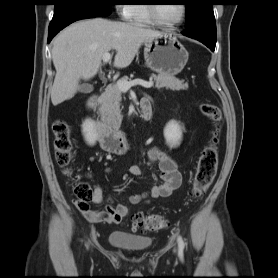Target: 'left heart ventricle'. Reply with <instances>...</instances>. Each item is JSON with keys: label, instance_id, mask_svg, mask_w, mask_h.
Listing matches in <instances>:
<instances>
[{"label": "left heart ventricle", "instance_id": "1", "mask_svg": "<svg viewBox=\"0 0 278 278\" xmlns=\"http://www.w3.org/2000/svg\"><path fill=\"white\" fill-rule=\"evenodd\" d=\"M157 17L164 23H173L177 21L181 15V4L171 3L164 5H157Z\"/></svg>", "mask_w": 278, "mask_h": 278}]
</instances>
